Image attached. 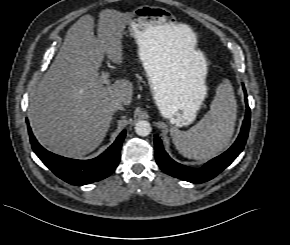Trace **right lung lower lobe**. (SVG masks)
<instances>
[{
    "instance_id": "1",
    "label": "right lung lower lobe",
    "mask_w": 290,
    "mask_h": 245,
    "mask_svg": "<svg viewBox=\"0 0 290 245\" xmlns=\"http://www.w3.org/2000/svg\"><path fill=\"white\" fill-rule=\"evenodd\" d=\"M28 131L36 155L56 176L73 185L97 182L111 175L118 166L121 145L126 135L124 130L104 153L94 159L75 160L47 151L38 143L29 125Z\"/></svg>"
}]
</instances>
